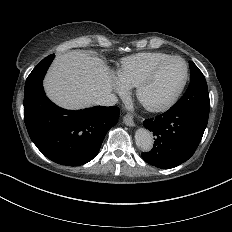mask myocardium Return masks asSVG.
Segmentation results:
<instances>
[{"mask_svg": "<svg viewBox=\"0 0 232 232\" xmlns=\"http://www.w3.org/2000/svg\"><path fill=\"white\" fill-rule=\"evenodd\" d=\"M172 61H181L184 65H185V77L184 80L182 82V84L180 85V87L177 89V91L163 104L155 106V107H143L140 106L147 112L150 113H162V112H166L167 110H169L180 98L181 94L183 93L189 77H190V69H189V64L188 62L179 57V56H170L169 58L165 59L164 61L156 64L154 67H152L145 75H143L140 80L137 82V84L135 85L134 88V97L138 102V97L139 94L142 90V88L164 67L166 66L168 63L172 62Z\"/></svg>", "mask_w": 232, "mask_h": 232, "instance_id": "obj_1", "label": "myocardium"}]
</instances>
